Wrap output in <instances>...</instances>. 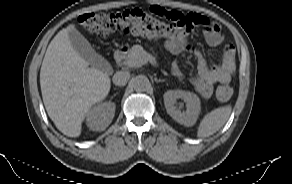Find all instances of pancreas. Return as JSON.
<instances>
[{"label": "pancreas", "instance_id": "1", "mask_svg": "<svg viewBox=\"0 0 292 184\" xmlns=\"http://www.w3.org/2000/svg\"><path fill=\"white\" fill-rule=\"evenodd\" d=\"M146 51L141 45H134L124 58L123 64L127 67H138L140 60L146 55Z\"/></svg>", "mask_w": 292, "mask_h": 184}]
</instances>
